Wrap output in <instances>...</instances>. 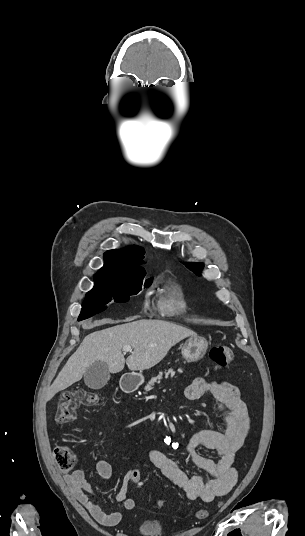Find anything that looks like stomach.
<instances>
[{
	"mask_svg": "<svg viewBox=\"0 0 305 536\" xmlns=\"http://www.w3.org/2000/svg\"><path fill=\"white\" fill-rule=\"evenodd\" d=\"M208 350V342L205 338H200V336H191L189 340H186L182 348V356L187 360V362H198L203 358ZM129 384H132L134 388H138L144 382L143 376H132L129 374L127 378Z\"/></svg>",
	"mask_w": 305,
	"mask_h": 536,
	"instance_id": "0dacf381",
	"label": "stomach"
}]
</instances>
